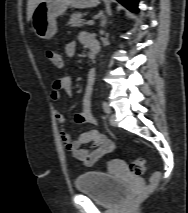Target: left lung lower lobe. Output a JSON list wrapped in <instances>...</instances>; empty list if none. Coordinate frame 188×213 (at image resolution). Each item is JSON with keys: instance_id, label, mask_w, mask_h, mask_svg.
I'll return each mask as SVG.
<instances>
[{"instance_id": "left-lung-lower-lobe-1", "label": "left lung lower lobe", "mask_w": 188, "mask_h": 213, "mask_svg": "<svg viewBox=\"0 0 188 213\" xmlns=\"http://www.w3.org/2000/svg\"><path fill=\"white\" fill-rule=\"evenodd\" d=\"M121 4H123L124 6H126L129 10H131L132 12H138V8H137V0H118Z\"/></svg>"}]
</instances>
